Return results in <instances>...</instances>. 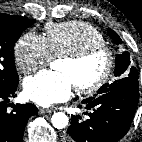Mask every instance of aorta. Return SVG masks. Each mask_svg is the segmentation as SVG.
<instances>
[{"label":"aorta","mask_w":142,"mask_h":142,"mask_svg":"<svg viewBox=\"0 0 142 142\" xmlns=\"http://www.w3.org/2000/svg\"><path fill=\"white\" fill-rule=\"evenodd\" d=\"M51 122L55 128L63 129L68 125V117L63 112H57L52 116Z\"/></svg>","instance_id":"762f6f07"}]
</instances>
